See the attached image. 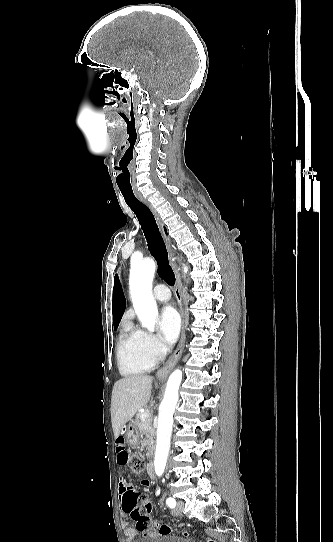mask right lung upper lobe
<instances>
[{
	"label": "right lung upper lobe",
	"mask_w": 333,
	"mask_h": 542,
	"mask_svg": "<svg viewBox=\"0 0 333 542\" xmlns=\"http://www.w3.org/2000/svg\"><path fill=\"white\" fill-rule=\"evenodd\" d=\"M166 231V229H165ZM125 297L121 288V284L118 280L117 275L114 279V289H113V323L114 326H118L122 315L125 309Z\"/></svg>",
	"instance_id": "1"
}]
</instances>
